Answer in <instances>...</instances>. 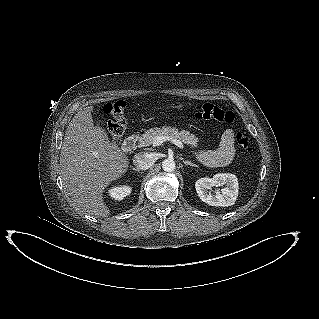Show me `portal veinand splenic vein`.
<instances>
[{
	"mask_svg": "<svg viewBox=\"0 0 319 319\" xmlns=\"http://www.w3.org/2000/svg\"><path fill=\"white\" fill-rule=\"evenodd\" d=\"M166 140H170L173 144H175L177 147L183 149V144L181 141L179 140H176V139H172V138H169V137H164V136H156L154 138V144L156 146H160L164 141Z\"/></svg>",
	"mask_w": 319,
	"mask_h": 319,
	"instance_id": "obj_1",
	"label": "portal vein and splenic vein"
}]
</instances>
